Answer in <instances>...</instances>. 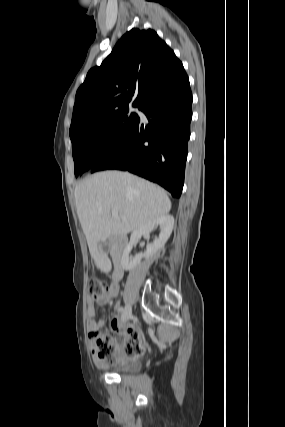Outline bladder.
<instances>
[{
	"instance_id": "1",
	"label": "bladder",
	"mask_w": 285,
	"mask_h": 427,
	"mask_svg": "<svg viewBox=\"0 0 285 427\" xmlns=\"http://www.w3.org/2000/svg\"><path fill=\"white\" fill-rule=\"evenodd\" d=\"M140 369V366L136 362H127L123 366L117 368V373L129 372L135 373Z\"/></svg>"
}]
</instances>
